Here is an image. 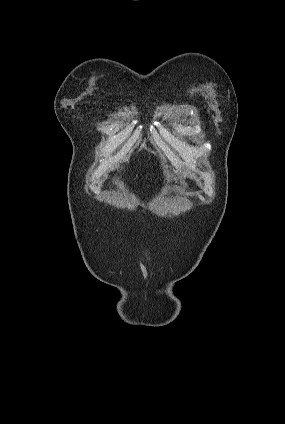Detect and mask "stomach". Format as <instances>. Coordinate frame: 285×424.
Instances as JSON below:
<instances>
[{
	"label": "stomach",
	"instance_id": "1",
	"mask_svg": "<svg viewBox=\"0 0 285 424\" xmlns=\"http://www.w3.org/2000/svg\"><path fill=\"white\" fill-rule=\"evenodd\" d=\"M179 184H180L179 188H180L182 191H187V190H189V185H188V183H187L185 180L180 179Z\"/></svg>",
	"mask_w": 285,
	"mask_h": 424
}]
</instances>
